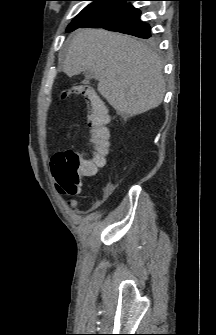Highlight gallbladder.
<instances>
[{
  "label": "gallbladder",
  "mask_w": 216,
  "mask_h": 335,
  "mask_svg": "<svg viewBox=\"0 0 216 335\" xmlns=\"http://www.w3.org/2000/svg\"><path fill=\"white\" fill-rule=\"evenodd\" d=\"M91 78H95V75L93 73L86 72V79H91Z\"/></svg>",
  "instance_id": "bac80fb5"
}]
</instances>
